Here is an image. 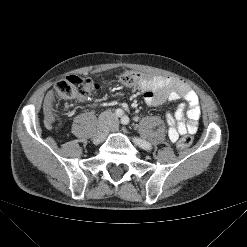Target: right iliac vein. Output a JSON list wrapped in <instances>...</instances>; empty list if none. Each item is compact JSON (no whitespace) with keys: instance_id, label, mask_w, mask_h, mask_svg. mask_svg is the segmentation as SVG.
Wrapping results in <instances>:
<instances>
[{"instance_id":"obj_1","label":"right iliac vein","mask_w":247,"mask_h":247,"mask_svg":"<svg viewBox=\"0 0 247 247\" xmlns=\"http://www.w3.org/2000/svg\"><path fill=\"white\" fill-rule=\"evenodd\" d=\"M108 131H109V120L108 117L105 116L103 117L96 128L93 140L96 143L102 142L106 136L108 135Z\"/></svg>"}]
</instances>
